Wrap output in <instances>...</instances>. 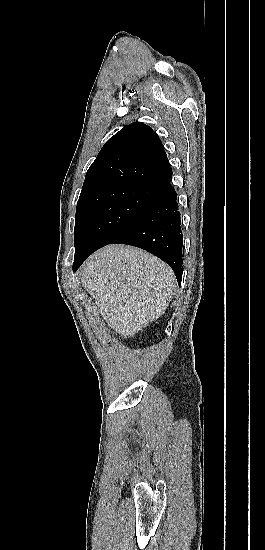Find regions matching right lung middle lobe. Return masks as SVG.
<instances>
[{
    "label": "right lung middle lobe",
    "instance_id": "obj_1",
    "mask_svg": "<svg viewBox=\"0 0 265 550\" xmlns=\"http://www.w3.org/2000/svg\"><path fill=\"white\" fill-rule=\"evenodd\" d=\"M160 186H130L103 192L77 203L74 263L111 243L146 210Z\"/></svg>",
    "mask_w": 265,
    "mask_h": 550
}]
</instances>
